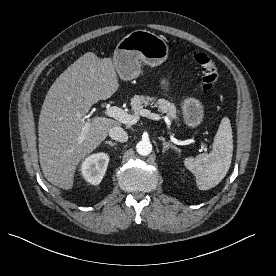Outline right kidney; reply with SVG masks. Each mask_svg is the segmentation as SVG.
<instances>
[{"mask_svg": "<svg viewBox=\"0 0 276 276\" xmlns=\"http://www.w3.org/2000/svg\"><path fill=\"white\" fill-rule=\"evenodd\" d=\"M108 163V154L103 152L92 154L82 162L81 174L88 183L98 185L105 175Z\"/></svg>", "mask_w": 276, "mask_h": 276, "instance_id": "right-kidney-1", "label": "right kidney"}]
</instances>
